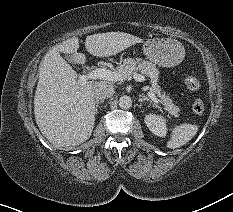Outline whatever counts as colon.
<instances>
[{
  "mask_svg": "<svg viewBox=\"0 0 233 212\" xmlns=\"http://www.w3.org/2000/svg\"><path fill=\"white\" fill-rule=\"evenodd\" d=\"M184 82L187 88L192 91H198L201 88L199 80L193 76H186ZM192 110L195 114L201 115L205 110L203 101L199 98L195 99L192 105Z\"/></svg>",
  "mask_w": 233,
  "mask_h": 212,
  "instance_id": "1",
  "label": "colon"
}]
</instances>
